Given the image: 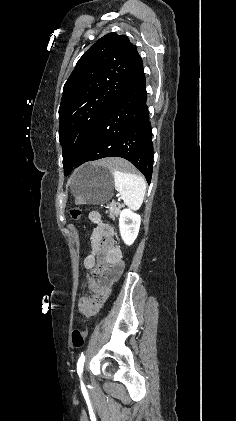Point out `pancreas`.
Segmentation results:
<instances>
[{"instance_id": "cf45deb5", "label": "pancreas", "mask_w": 236, "mask_h": 421, "mask_svg": "<svg viewBox=\"0 0 236 421\" xmlns=\"http://www.w3.org/2000/svg\"><path fill=\"white\" fill-rule=\"evenodd\" d=\"M121 206L122 204H120V202H111L109 211H106V213H109V217H118V215H120Z\"/></svg>"}]
</instances>
